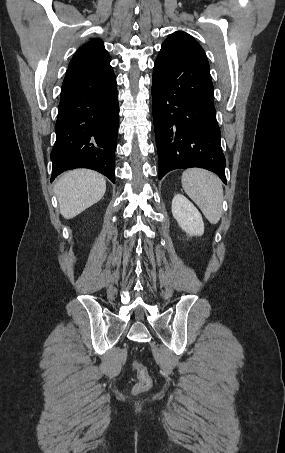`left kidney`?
<instances>
[{
  "instance_id": "5707ae66",
  "label": "left kidney",
  "mask_w": 285,
  "mask_h": 453,
  "mask_svg": "<svg viewBox=\"0 0 285 453\" xmlns=\"http://www.w3.org/2000/svg\"><path fill=\"white\" fill-rule=\"evenodd\" d=\"M172 214L182 230L189 236H201L204 223L198 209L182 194H176L172 200Z\"/></svg>"
}]
</instances>
